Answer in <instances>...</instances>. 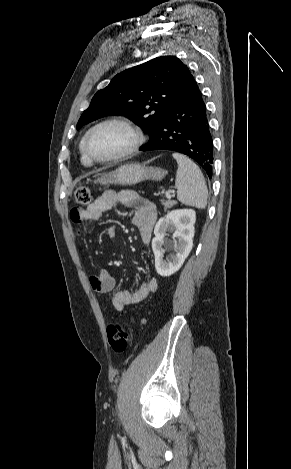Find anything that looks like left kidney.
<instances>
[{"label":"left kidney","instance_id":"left-kidney-1","mask_svg":"<svg viewBox=\"0 0 291 469\" xmlns=\"http://www.w3.org/2000/svg\"><path fill=\"white\" fill-rule=\"evenodd\" d=\"M195 221L196 213L193 209H178L169 212L157 222L152 250L155 256V268L160 276H170L183 265L193 247ZM169 230L173 232V237L177 238L178 242L164 239L166 231ZM172 249L176 254L171 255L169 260H164L165 251Z\"/></svg>","mask_w":291,"mask_h":469}]
</instances>
